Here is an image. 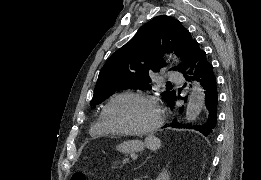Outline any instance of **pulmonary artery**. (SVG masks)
<instances>
[{"instance_id":"obj_1","label":"pulmonary artery","mask_w":261,"mask_h":180,"mask_svg":"<svg viewBox=\"0 0 261 180\" xmlns=\"http://www.w3.org/2000/svg\"><path fill=\"white\" fill-rule=\"evenodd\" d=\"M168 77H183V72H168ZM171 83H186V78H171Z\"/></svg>"}]
</instances>
